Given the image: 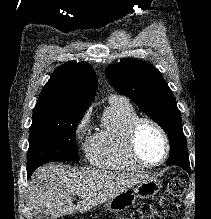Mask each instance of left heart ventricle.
I'll return each instance as SVG.
<instances>
[{"label":"left heart ventricle","mask_w":211,"mask_h":219,"mask_svg":"<svg viewBox=\"0 0 211 219\" xmlns=\"http://www.w3.org/2000/svg\"><path fill=\"white\" fill-rule=\"evenodd\" d=\"M137 146L141 158L150 164L159 162L164 154L161 134L150 124H142L137 135Z\"/></svg>","instance_id":"1"}]
</instances>
